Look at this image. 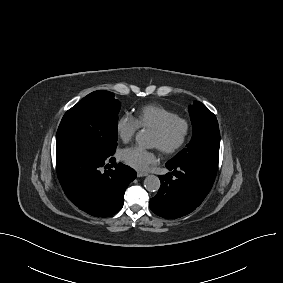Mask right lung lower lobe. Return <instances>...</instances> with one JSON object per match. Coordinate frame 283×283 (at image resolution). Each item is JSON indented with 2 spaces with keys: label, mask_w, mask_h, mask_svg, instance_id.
I'll use <instances>...</instances> for the list:
<instances>
[{
  "label": "right lung lower lobe",
  "mask_w": 283,
  "mask_h": 283,
  "mask_svg": "<svg viewBox=\"0 0 283 283\" xmlns=\"http://www.w3.org/2000/svg\"><path fill=\"white\" fill-rule=\"evenodd\" d=\"M113 154L72 147L56 154L59 182L69 200L94 217H109L120 211L124 193L136 178L134 169L119 163L103 170ZM107 168V165L104 169Z\"/></svg>",
  "instance_id": "right-lung-lower-lobe-1"
}]
</instances>
